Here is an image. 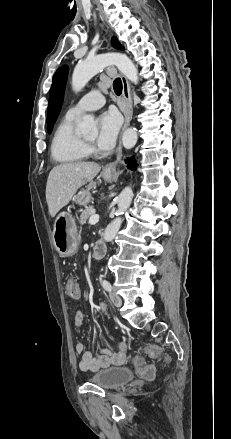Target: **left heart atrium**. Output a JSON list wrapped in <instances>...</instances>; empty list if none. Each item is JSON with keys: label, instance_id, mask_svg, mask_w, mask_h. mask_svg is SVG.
<instances>
[{"label": "left heart atrium", "instance_id": "left-heart-atrium-1", "mask_svg": "<svg viewBox=\"0 0 231 439\" xmlns=\"http://www.w3.org/2000/svg\"><path fill=\"white\" fill-rule=\"evenodd\" d=\"M98 135L96 144L100 150L107 151L113 148L118 136L121 119L117 112L110 110L98 117Z\"/></svg>", "mask_w": 231, "mask_h": 439}]
</instances>
